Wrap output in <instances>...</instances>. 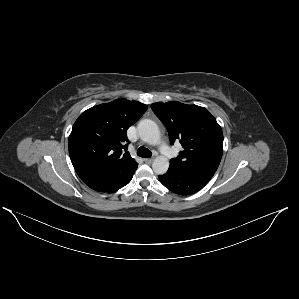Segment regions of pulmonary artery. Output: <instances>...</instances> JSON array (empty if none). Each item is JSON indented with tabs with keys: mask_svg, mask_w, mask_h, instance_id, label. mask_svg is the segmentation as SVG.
Here are the masks:
<instances>
[{
	"mask_svg": "<svg viewBox=\"0 0 299 299\" xmlns=\"http://www.w3.org/2000/svg\"><path fill=\"white\" fill-rule=\"evenodd\" d=\"M161 152L163 155H166V146L164 144L161 146Z\"/></svg>",
	"mask_w": 299,
	"mask_h": 299,
	"instance_id": "pulmonary-artery-1",
	"label": "pulmonary artery"
}]
</instances>
